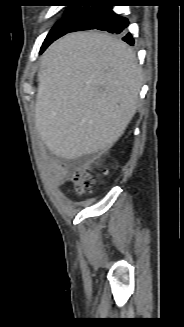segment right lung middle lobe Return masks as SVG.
<instances>
[{"mask_svg": "<svg viewBox=\"0 0 184 327\" xmlns=\"http://www.w3.org/2000/svg\"><path fill=\"white\" fill-rule=\"evenodd\" d=\"M79 6H70L65 17L54 25L44 40L40 53H42L53 41L68 33L84 16L88 7L78 8Z\"/></svg>", "mask_w": 184, "mask_h": 327, "instance_id": "right-lung-middle-lobe-1", "label": "right lung middle lobe"}]
</instances>
